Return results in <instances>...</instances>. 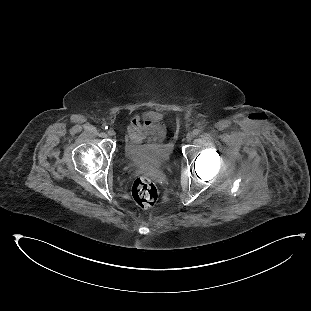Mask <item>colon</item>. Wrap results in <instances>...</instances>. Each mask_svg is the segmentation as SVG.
Segmentation results:
<instances>
[{
    "label": "colon",
    "instance_id": "5ec220e1",
    "mask_svg": "<svg viewBox=\"0 0 311 311\" xmlns=\"http://www.w3.org/2000/svg\"><path fill=\"white\" fill-rule=\"evenodd\" d=\"M132 197L140 209L149 210L157 203L158 190L150 179L139 177L133 183Z\"/></svg>",
    "mask_w": 311,
    "mask_h": 311
}]
</instances>
